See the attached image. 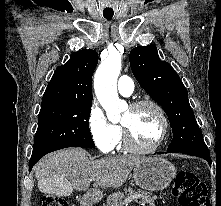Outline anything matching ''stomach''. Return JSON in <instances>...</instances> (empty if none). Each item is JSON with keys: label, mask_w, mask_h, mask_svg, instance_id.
<instances>
[{"label": "stomach", "mask_w": 221, "mask_h": 206, "mask_svg": "<svg viewBox=\"0 0 221 206\" xmlns=\"http://www.w3.org/2000/svg\"><path fill=\"white\" fill-rule=\"evenodd\" d=\"M176 169L166 159L150 157L134 167L133 179L140 188L148 191H159L166 188L175 178ZM86 199L95 203L101 200L102 192L94 189L86 194Z\"/></svg>", "instance_id": "1"}]
</instances>
